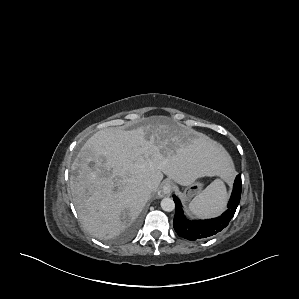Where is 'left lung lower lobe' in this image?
Masks as SVG:
<instances>
[{
  "label": "left lung lower lobe",
  "mask_w": 299,
  "mask_h": 299,
  "mask_svg": "<svg viewBox=\"0 0 299 299\" xmlns=\"http://www.w3.org/2000/svg\"><path fill=\"white\" fill-rule=\"evenodd\" d=\"M241 174L237 175L234 181L233 192L229 200L227 210L218 218L209 220H188L183 212L180 200L173 196L176 212L173 220L175 231L180 237L194 241L213 236L225 228L234 216L241 197Z\"/></svg>",
  "instance_id": "1"
}]
</instances>
